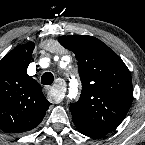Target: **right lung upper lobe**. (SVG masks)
I'll return each instance as SVG.
<instances>
[{"label":"right lung upper lobe","mask_w":145,"mask_h":145,"mask_svg":"<svg viewBox=\"0 0 145 145\" xmlns=\"http://www.w3.org/2000/svg\"><path fill=\"white\" fill-rule=\"evenodd\" d=\"M33 42L20 45L0 61V129L21 133L40 124L51 103L27 74Z\"/></svg>","instance_id":"right-lung-upper-lobe-1"}]
</instances>
